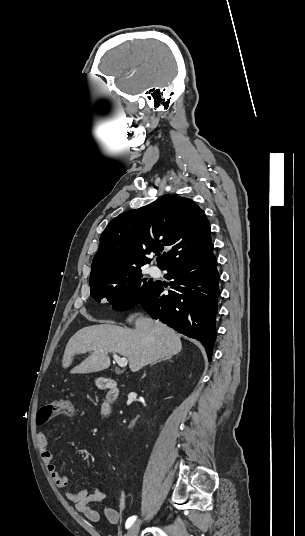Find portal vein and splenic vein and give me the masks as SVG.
Returning a JSON list of instances; mask_svg holds the SVG:
<instances>
[{"mask_svg": "<svg viewBox=\"0 0 305 536\" xmlns=\"http://www.w3.org/2000/svg\"><path fill=\"white\" fill-rule=\"evenodd\" d=\"M100 352H103V350H100ZM113 358L115 362H117L118 366H120V368H124V366H127L128 364L127 358H119L117 354H113Z\"/></svg>", "mask_w": 305, "mask_h": 536, "instance_id": "18ae733b", "label": "portal vein and splenic vein"}]
</instances>
